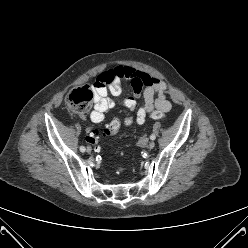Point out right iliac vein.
Masks as SVG:
<instances>
[{
	"mask_svg": "<svg viewBox=\"0 0 248 248\" xmlns=\"http://www.w3.org/2000/svg\"><path fill=\"white\" fill-rule=\"evenodd\" d=\"M86 151H87L88 154H91V152H92V150H91L90 147H87V150Z\"/></svg>",
	"mask_w": 248,
	"mask_h": 248,
	"instance_id": "right-iliac-vein-1",
	"label": "right iliac vein"
}]
</instances>
